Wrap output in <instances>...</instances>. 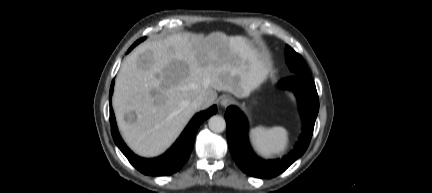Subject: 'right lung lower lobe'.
Returning a JSON list of instances; mask_svg holds the SVG:
<instances>
[{
    "label": "right lung lower lobe",
    "mask_w": 432,
    "mask_h": 193,
    "mask_svg": "<svg viewBox=\"0 0 432 193\" xmlns=\"http://www.w3.org/2000/svg\"><path fill=\"white\" fill-rule=\"evenodd\" d=\"M113 87L114 80L112 81L109 93L110 122L113 139L129 162L146 175L162 176L170 175L178 171L184 165L192 151L196 131L199 125L217 111V107L214 105L208 110L196 114L189 122L183 133L180 135L176 143L165 154L158 158L145 159L136 156L132 151H130L118 133L115 116L111 105Z\"/></svg>",
    "instance_id": "obj_1"
}]
</instances>
